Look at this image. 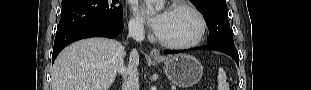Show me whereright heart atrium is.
Wrapping results in <instances>:
<instances>
[{"instance_id":"obj_1","label":"right heart atrium","mask_w":311,"mask_h":90,"mask_svg":"<svg viewBox=\"0 0 311 90\" xmlns=\"http://www.w3.org/2000/svg\"><path fill=\"white\" fill-rule=\"evenodd\" d=\"M129 28L134 33H142L144 32V22L141 16L133 11L132 16L129 21Z\"/></svg>"}]
</instances>
